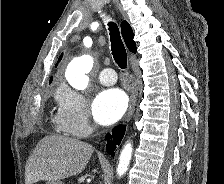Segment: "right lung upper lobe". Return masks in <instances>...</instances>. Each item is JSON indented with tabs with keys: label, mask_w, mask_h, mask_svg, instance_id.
Masks as SVG:
<instances>
[{
	"label": "right lung upper lobe",
	"mask_w": 224,
	"mask_h": 184,
	"mask_svg": "<svg viewBox=\"0 0 224 184\" xmlns=\"http://www.w3.org/2000/svg\"><path fill=\"white\" fill-rule=\"evenodd\" d=\"M121 33H122V36L124 38V41L126 43V46L127 48L133 52V53H136V43L135 41L133 40V31H132V28L131 26L126 22V21H123L121 23ZM62 58V55L59 57L58 61H60ZM57 66V65H56ZM55 66V67H56ZM52 81V77L50 79V82Z\"/></svg>",
	"instance_id": "obj_1"
}]
</instances>
